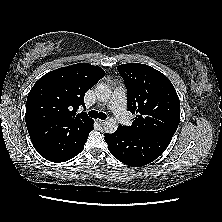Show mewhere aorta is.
Returning <instances> with one entry per match:
<instances>
[{"label":"aorta","mask_w":222,"mask_h":222,"mask_svg":"<svg viewBox=\"0 0 222 222\" xmlns=\"http://www.w3.org/2000/svg\"><path fill=\"white\" fill-rule=\"evenodd\" d=\"M95 94H96L97 99L100 102H107L112 95V91L107 84L101 83L96 86ZM103 128H104V131L108 134L114 133L118 128L116 119L113 117H110L107 120H105Z\"/></svg>","instance_id":"obj_1"}]
</instances>
